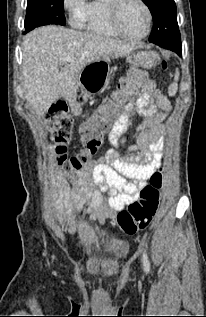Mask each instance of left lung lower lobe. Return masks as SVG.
Returning a JSON list of instances; mask_svg holds the SVG:
<instances>
[{
	"mask_svg": "<svg viewBox=\"0 0 206 317\" xmlns=\"http://www.w3.org/2000/svg\"><path fill=\"white\" fill-rule=\"evenodd\" d=\"M160 47L169 49L171 51L176 52L179 56H181L182 47L181 44H175V43H167V44H156Z\"/></svg>",
	"mask_w": 206,
	"mask_h": 317,
	"instance_id": "0a47b994",
	"label": "left lung lower lobe"
}]
</instances>
